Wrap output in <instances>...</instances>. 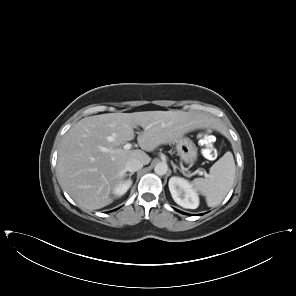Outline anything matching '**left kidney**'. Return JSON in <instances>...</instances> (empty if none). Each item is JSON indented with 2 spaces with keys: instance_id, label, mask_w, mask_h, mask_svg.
Wrapping results in <instances>:
<instances>
[{
  "instance_id": "1",
  "label": "left kidney",
  "mask_w": 296,
  "mask_h": 296,
  "mask_svg": "<svg viewBox=\"0 0 296 296\" xmlns=\"http://www.w3.org/2000/svg\"><path fill=\"white\" fill-rule=\"evenodd\" d=\"M169 190L173 200L186 209H196L199 206V197L191 183L184 178L173 176L169 179Z\"/></svg>"
}]
</instances>
